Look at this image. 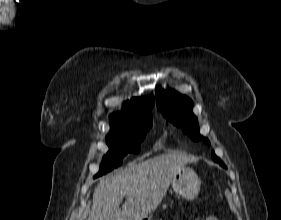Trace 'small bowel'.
<instances>
[{
    "label": "small bowel",
    "mask_w": 281,
    "mask_h": 220,
    "mask_svg": "<svg viewBox=\"0 0 281 220\" xmlns=\"http://www.w3.org/2000/svg\"><path fill=\"white\" fill-rule=\"evenodd\" d=\"M196 220H199V219H196ZM201 220H219V219L215 216H208V217H206L204 219H201Z\"/></svg>",
    "instance_id": "1"
}]
</instances>
